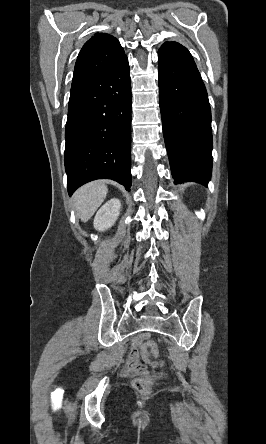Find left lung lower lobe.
<instances>
[{"mask_svg":"<svg viewBox=\"0 0 266 444\" xmlns=\"http://www.w3.org/2000/svg\"><path fill=\"white\" fill-rule=\"evenodd\" d=\"M162 127L175 183L207 186L212 170L211 110L195 62L158 53Z\"/></svg>","mask_w":266,"mask_h":444,"instance_id":"1","label":"left lung lower lobe"}]
</instances>
